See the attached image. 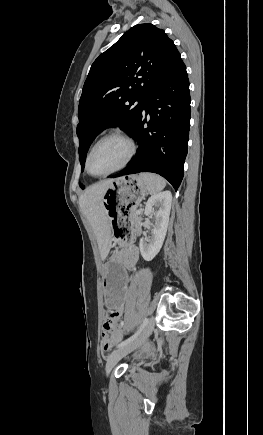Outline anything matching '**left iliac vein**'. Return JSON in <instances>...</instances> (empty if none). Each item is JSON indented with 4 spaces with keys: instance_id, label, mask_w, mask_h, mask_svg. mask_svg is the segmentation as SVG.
I'll use <instances>...</instances> for the list:
<instances>
[{
    "instance_id": "1",
    "label": "left iliac vein",
    "mask_w": 263,
    "mask_h": 435,
    "mask_svg": "<svg viewBox=\"0 0 263 435\" xmlns=\"http://www.w3.org/2000/svg\"><path fill=\"white\" fill-rule=\"evenodd\" d=\"M155 326V319L151 317L145 328L142 330L140 335L130 342L129 344L120 347L116 351H114L107 359L106 363V375H109L112 368L118 363L120 359L126 356L128 353L132 352L136 348H138L141 344H143L147 338L151 335Z\"/></svg>"
}]
</instances>
